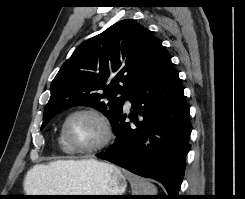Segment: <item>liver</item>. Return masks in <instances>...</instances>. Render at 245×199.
<instances>
[{
    "instance_id": "liver-1",
    "label": "liver",
    "mask_w": 245,
    "mask_h": 199,
    "mask_svg": "<svg viewBox=\"0 0 245 199\" xmlns=\"http://www.w3.org/2000/svg\"><path fill=\"white\" fill-rule=\"evenodd\" d=\"M89 160H58L49 164L35 165L25 178V188L28 191L41 190L46 193H62L67 191L65 181L71 174L84 164L93 162Z\"/></svg>"
}]
</instances>
